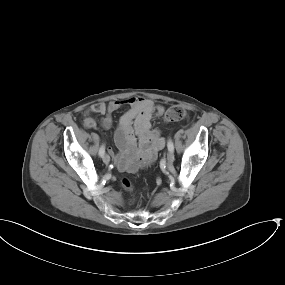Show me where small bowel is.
<instances>
[{"mask_svg":"<svg viewBox=\"0 0 285 285\" xmlns=\"http://www.w3.org/2000/svg\"><path fill=\"white\" fill-rule=\"evenodd\" d=\"M124 107L127 110L115 134L120 153L114 160L119 170L134 173L150 167L165 145L160 132L152 128V119L157 113V104L153 100L136 96L109 103L98 102L87 108L83 123L86 128H93L96 123L91 115L99 114L101 126L111 128L113 115Z\"/></svg>","mask_w":285,"mask_h":285,"instance_id":"c3829d8e","label":"small bowel"}]
</instances>
